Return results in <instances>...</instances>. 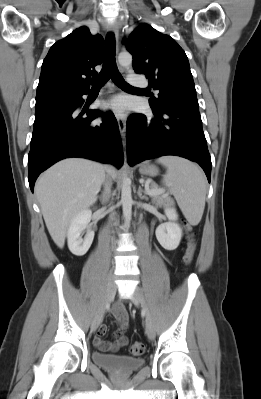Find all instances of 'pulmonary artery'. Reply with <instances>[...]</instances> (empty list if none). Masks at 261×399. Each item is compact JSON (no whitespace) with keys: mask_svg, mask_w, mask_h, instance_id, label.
<instances>
[{"mask_svg":"<svg viewBox=\"0 0 261 399\" xmlns=\"http://www.w3.org/2000/svg\"><path fill=\"white\" fill-rule=\"evenodd\" d=\"M128 80L131 84L136 85V86H141V87L147 86V82L145 80L136 78V75L134 73H130L128 75Z\"/></svg>","mask_w":261,"mask_h":399,"instance_id":"e3ab8cb5","label":"pulmonary artery"}]
</instances>
